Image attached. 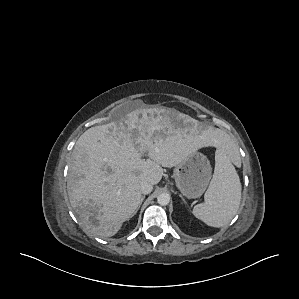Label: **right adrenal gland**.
Masks as SVG:
<instances>
[{
    "label": "right adrenal gland",
    "mask_w": 299,
    "mask_h": 299,
    "mask_svg": "<svg viewBox=\"0 0 299 299\" xmlns=\"http://www.w3.org/2000/svg\"><path fill=\"white\" fill-rule=\"evenodd\" d=\"M144 199H145V196H142V198H141V203L143 202ZM139 208H140V205H139V207L136 209V211L134 212L133 215H135V214L137 213V211H138Z\"/></svg>",
    "instance_id": "right-adrenal-gland-1"
}]
</instances>
